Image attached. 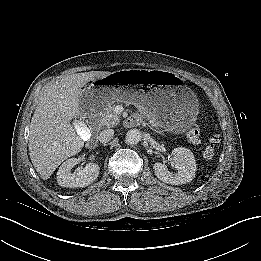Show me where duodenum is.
Segmentation results:
<instances>
[{"instance_id": "1", "label": "duodenum", "mask_w": 261, "mask_h": 261, "mask_svg": "<svg viewBox=\"0 0 261 261\" xmlns=\"http://www.w3.org/2000/svg\"><path fill=\"white\" fill-rule=\"evenodd\" d=\"M88 125L94 131H99L101 125L100 117L98 115L90 116L88 119Z\"/></svg>"}]
</instances>
